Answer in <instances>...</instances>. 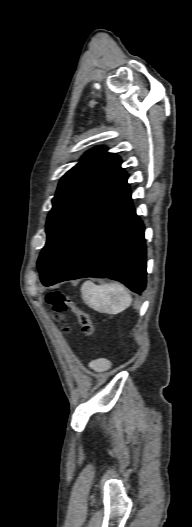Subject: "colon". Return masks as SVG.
I'll use <instances>...</instances> for the list:
<instances>
[{
    "mask_svg": "<svg viewBox=\"0 0 192 527\" xmlns=\"http://www.w3.org/2000/svg\"><path fill=\"white\" fill-rule=\"evenodd\" d=\"M46 300H47V303L52 307L54 313L57 316H60L67 309L71 308L78 317L79 323L82 328V332L88 336L94 333L95 326L92 322L90 315L83 310L75 308L71 300L67 296H65L63 293L59 291H52L47 295ZM63 330L68 331L69 329L66 325H64Z\"/></svg>",
    "mask_w": 192,
    "mask_h": 527,
    "instance_id": "1",
    "label": "colon"
}]
</instances>
